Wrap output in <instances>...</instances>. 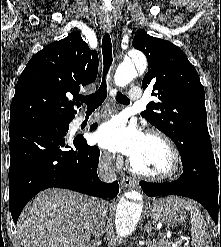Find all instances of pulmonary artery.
I'll return each mask as SVG.
<instances>
[{
	"label": "pulmonary artery",
	"mask_w": 221,
	"mask_h": 247,
	"mask_svg": "<svg viewBox=\"0 0 221 247\" xmlns=\"http://www.w3.org/2000/svg\"><path fill=\"white\" fill-rule=\"evenodd\" d=\"M142 97V92L139 88H134V89H131L130 92H129V98L131 100H140ZM98 114L97 113H94L90 116V118H93L95 116H97Z\"/></svg>",
	"instance_id": "pulmonary-artery-1"
}]
</instances>
